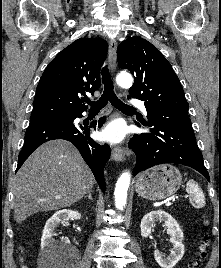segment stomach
<instances>
[{"label": "stomach", "mask_w": 221, "mask_h": 268, "mask_svg": "<svg viewBox=\"0 0 221 268\" xmlns=\"http://www.w3.org/2000/svg\"><path fill=\"white\" fill-rule=\"evenodd\" d=\"M182 182L180 171L171 164H162L143 172L137 179L135 190L149 200H161L173 195Z\"/></svg>", "instance_id": "0dacf381"}]
</instances>
